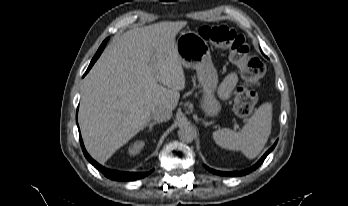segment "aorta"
I'll return each mask as SVG.
<instances>
[{
	"mask_svg": "<svg viewBox=\"0 0 348 206\" xmlns=\"http://www.w3.org/2000/svg\"><path fill=\"white\" fill-rule=\"evenodd\" d=\"M195 130L190 125H183L178 130V137L181 141L191 143L195 138Z\"/></svg>",
	"mask_w": 348,
	"mask_h": 206,
	"instance_id": "aorta-1",
	"label": "aorta"
}]
</instances>
